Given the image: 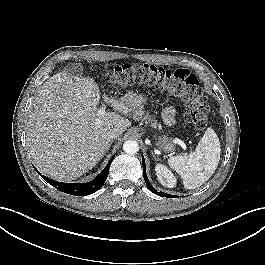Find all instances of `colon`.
Masks as SVG:
<instances>
[{
    "mask_svg": "<svg viewBox=\"0 0 265 265\" xmlns=\"http://www.w3.org/2000/svg\"><path fill=\"white\" fill-rule=\"evenodd\" d=\"M113 84L128 87L145 84L181 99L188 107L185 120L196 128L207 125L209 107L202 96L197 76L187 69H167L151 64H123L112 76Z\"/></svg>",
    "mask_w": 265,
    "mask_h": 265,
    "instance_id": "5ec220e1",
    "label": "colon"
}]
</instances>
